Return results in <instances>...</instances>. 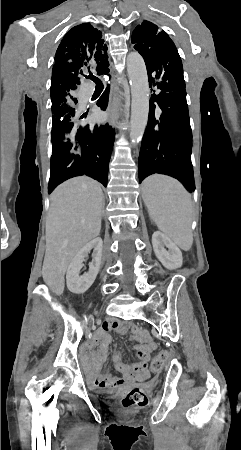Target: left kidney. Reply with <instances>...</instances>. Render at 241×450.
<instances>
[{"instance_id": "left-kidney-1", "label": "left kidney", "mask_w": 241, "mask_h": 450, "mask_svg": "<svg viewBox=\"0 0 241 450\" xmlns=\"http://www.w3.org/2000/svg\"><path fill=\"white\" fill-rule=\"evenodd\" d=\"M152 244L153 250L164 268H168V270L181 268L183 262L182 252H180L179 248L173 244L168 236H165L162 232H154Z\"/></svg>"}]
</instances>
